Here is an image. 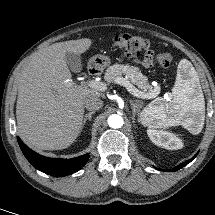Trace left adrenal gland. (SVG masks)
Returning <instances> with one entry per match:
<instances>
[{
  "instance_id": "left-adrenal-gland-1",
  "label": "left adrenal gland",
  "mask_w": 215,
  "mask_h": 215,
  "mask_svg": "<svg viewBox=\"0 0 215 215\" xmlns=\"http://www.w3.org/2000/svg\"><path fill=\"white\" fill-rule=\"evenodd\" d=\"M131 103V108L133 111V116L138 112L139 106H140V101L139 100H130Z\"/></svg>"
}]
</instances>
